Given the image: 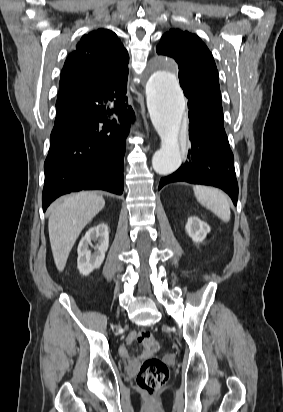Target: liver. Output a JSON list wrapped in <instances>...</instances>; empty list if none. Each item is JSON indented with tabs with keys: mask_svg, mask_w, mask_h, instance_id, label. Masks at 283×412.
I'll list each match as a JSON object with an SVG mask.
<instances>
[{
	"mask_svg": "<svg viewBox=\"0 0 283 412\" xmlns=\"http://www.w3.org/2000/svg\"><path fill=\"white\" fill-rule=\"evenodd\" d=\"M104 198L89 191L65 197L50 207L49 238L55 265L65 268L69 253L83 228L104 208Z\"/></svg>",
	"mask_w": 283,
	"mask_h": 412,
	"instance_id": "1",
	"label": "liver"
}]
</instances>
